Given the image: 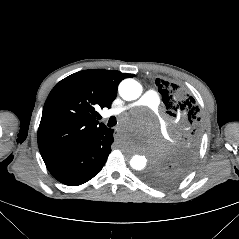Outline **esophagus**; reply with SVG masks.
Returning <instances> with one entry per match:
<instances>
[{"instance_id": "obj_1", "label": "esophagus", "mask_w": 239, "mask_h": 239, "mask_svg": "<svg viewBox=\"0 0 239 239\" xmlns=\"http://www.w3.org/2000/svg\"><path fill=\"white\" fill-rule=\"evenodd\" d=\"M112 138H113L114 140H120V139L122 138V133H121V131H120L119 129H114V130L112 131Z\"/></svg>"}]
</instances>
